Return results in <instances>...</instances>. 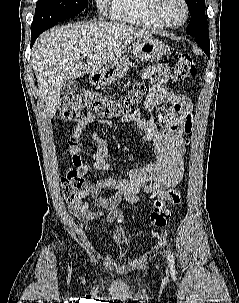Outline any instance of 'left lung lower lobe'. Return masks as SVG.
<instances>
[{
    "instance_id": "obj_1",
    "label": "left lung lower lobe",
    "mask_w": 239,
    "mask_h": 303,
    "mask_svg": "<svg viewBox=\"0 0 239 303\" xmlns=\"http://www.w3.org/2000/svg\"><path fill=\"white\" fill-rule=\"evenodd\" d=\"M195 41L202 48V50L206 53V55L208 57H210V47H209L210 42H202V41H197V40H195Z\"/></svg>"
}]
</instances>
